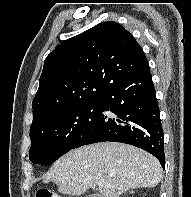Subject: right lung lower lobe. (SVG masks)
I'll return each instance as SVG.
<instances>
[{
  "label": "right lung lower lobe",
  "mask_w": 191,
  "mask_h": 197,
  "mask_svg": "<svg viewBox=\"0 0 191 197\" xmlns=\"http://www.w3.org/2000/svg\"><path fill=\"white\" fill-rule=\"evenodd\" d=\"M97 102V116L72 149L103 141L122 142L146 150L165 167L164 134L149 65L108 87Z\"/></svg>",
  "instance_id": "obj_1"
}]
</instances>
